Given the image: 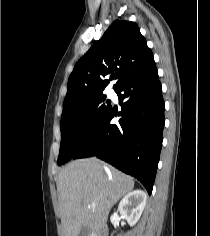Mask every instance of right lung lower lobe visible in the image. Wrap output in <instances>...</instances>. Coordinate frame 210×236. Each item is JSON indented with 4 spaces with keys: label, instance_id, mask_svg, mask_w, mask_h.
Listing matches in <instances>:
<instances>
[{
    "label": "right lung lower lobe",
    "instance_id": "obj_1",
    "mask_svg": "<svg viewBox=\"0 0 210 236\" xmlns=\"http://www.w3.org/2000/svg\"><path fill=\"white\" fill-rule=\"evenodd\" d=\"M115 92L122 108L119 124H110L111 109L73 158L96 156L136 177L151 194L165 122L155 63L125 80Z\"/></svg>",
    "mask_w": 210,
    "mask_h": 236
}]
</instances>
